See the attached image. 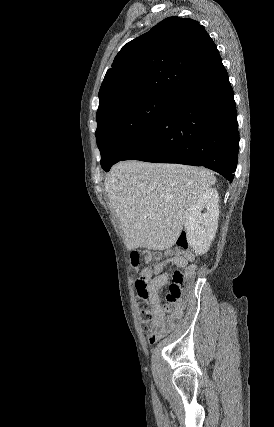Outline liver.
<instances>
[{"label":"liver","mask_w":274,"mask_h":427,"mask_svg":"<svg viewBox=\"0 0 274 427\" xmlns=\"http://www.w3.org/2000/svg\"><path fill=\"white\" fill-rule=\"evenodd\" d=\"M216 182L206 168L119 162L105 192L122 225L127 249H168L176 243L198 196Z\"/></svg>","instance_id":"1"}]
</instances>
